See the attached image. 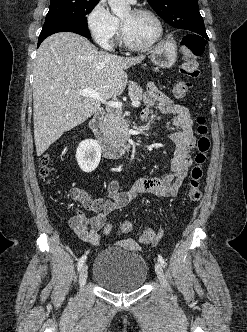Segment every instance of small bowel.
Here are the masks:
<instances>
[{"label": "small bowel", "instance_id": "c3829d8e", "mask_svg": "<svg viewBox=\"0 0 247 332\" xmlns=\"http://www.w3.org/2000/svg\"><path fill=\"white\" fill-rule=\"evenodd\" d=\"M144 103L143 118L150 116L152 108L156 104L162 113L174 116L173 125L177 130L170 132L168 136L175 143L176 149L169 171L161 176L139 178L129 191H120L118 182L111 180L107 185L108 197L106 199L92 198L81 189H72L71 196L78 200L86 210L93 212L94 216L76 215L70 219V228L81 240L91 245H99L98 232L105 227L108 215L126 207L141 195L177 196L192 164L190 152L195 146L197 138L193 131V121L189 109L172 101L154 85H151L146 91ZM160 236L161 233H159Z\"/></svg>", "mask_w": 247, "mask_h": 332}]
</instances>
